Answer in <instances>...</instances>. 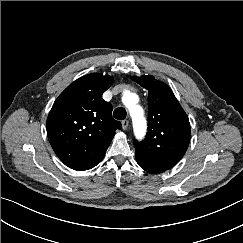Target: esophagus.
<instances>
[{"label": "esophagus", "instance_id": "esophagus-1", "mask_svg": "<svg viewBox=\"0 0 243 243\" xmlns=\"http://www.w3.org/2000/svg\"><path fill=\"white\" fill-rule=\"evenodd\" d=\"M129 126V121L128 120H123L122 121V128L123 130H126Z\"/></svg>", "mask_w": 243, "mask_h": 243}]
</instances>
